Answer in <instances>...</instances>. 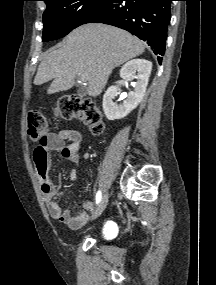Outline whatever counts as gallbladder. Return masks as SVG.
Returning <instances> with one entry per match:
<instances>
[{
	"mask_svg": "<svg viewBox=\"0 0 216 285\" xmlns=\"http://www.w3.org/2000/svg\"><path fill=\"white\" fill-rule=\"evenodd\" d=\"M86 89L85 88H80V89H78V91H77V94L80 96V97H83V96H85L86 95Z\"/></svg>",
	"mask_w": 216,
	"mask_h": 285,
	"instance_id": "gallbladder-1",
	"label": "gallbladder"
}]
</instances>
